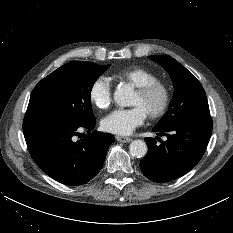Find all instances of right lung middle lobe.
<instances>
[{"mask_svg": "<svg viewBox=\"0 0 233 233\" xmlns=\"http://www.w3.org/2000/svg\"><path fill=\"white\" fill-rule=\"evenodd\" d=\"M109 65L69 62L41 80L32 91L27 111L53 112L81 123L95 121L90 93Z\"/></svg>", "mask_w": 233, "mask_h": 233, "instance_id": "obj_1", "label": "right lung middle lobe"}]
</instances>
